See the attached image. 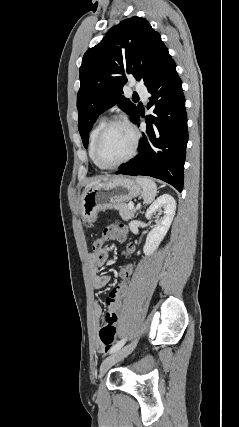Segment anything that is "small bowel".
I'll return each instance as SVG.
<instances>
[{"instance_id":"1","label":"small bowel","mask_w":239,"mask_h":427,"mask_svg":"<svg viewBox=\"0 0 239 427\" xmlns=\"http://www.w3.org/2000/svg\"><path fill=\"white\" fill-rule=\"evenodd\" d=\"M133 252V251H132ZM108 259V249H100L97 252L89 253L87 256V262L89 270L91 272V284L94 290L103 289L110 281V277L105 274H100L99 270L104 266ZM127 292V291H126ZM109 305H107L108 307ZM120 309V308H119ZM102 306L99 302H95L93 306V315L96 320H99L102 316ZM97 350L102 352L104 346L101 342H97Z\"/></svg>"}]
</instances>
